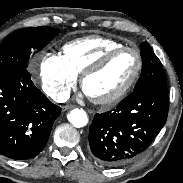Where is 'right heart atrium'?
I'll use <instances>...</instances> for the list:
<instances>
[{
  "label": "right heart atrium",
  "instance_id": "d8ad5b80",
  "mask_svg": "<svg viewBox=\"0 0 183 183\" xmlns=\"http://www.w3.org/2000/svg\"><path fill=\"white\" fill-rule=\"evenodd\" d=\"M36 62L44 92L55 101H64L75 87L77 75L60 54L41 52L37 55Z\"/></svg>",
  "mask_w": 183,
  "mask_h": 183
}]
</instances>
